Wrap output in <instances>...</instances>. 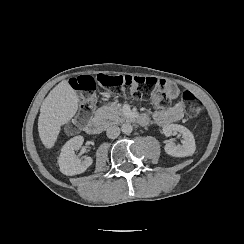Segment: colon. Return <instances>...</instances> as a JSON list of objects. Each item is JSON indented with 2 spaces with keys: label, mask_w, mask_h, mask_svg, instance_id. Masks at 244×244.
<instances>
[{
  "label": "colon",
  "mask_w": 244,
  "mask_h": 244,
  "mask_svg": "<svg viewBox=\"0 0 244 244\" xmlns=\"http://www.w3.org/2000/svg\"><path fill=\"white\" fill-rule=\"evenodd\" d=\"M70 88L83 93V102L75 117L64 123L66 134L73 135L83 129L85 123L90 121L94 113L96 101L95 92L99 85L110 88L115 97H131L134 99H151L157 106H165L169 103L165 82L155 77L134 75H109L99 74L96 79L92 75L82 74L72 77ZM181 100L185 104V113L188 117H197L203 108L202 101L189 89L181 94Z\"/></svg>",
  "instance_id": "1"
}]
</instances>
